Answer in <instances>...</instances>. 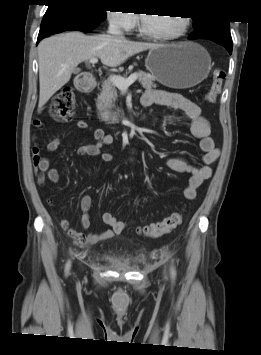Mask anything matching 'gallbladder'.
Returning <instances> with one entry per match:
<instances>
[{"instance_id": "1", "label": "gallbladder", "mask_w": 261, "mask_h": 355, "mask_svg": "<svg viewBox=\"0 0 261 355\" xmlns=\"http://www.w3.org/2000/svg\"><path fill=\"white\" fill-rule=\"evenodd\" d=\"M74 72H75V73L80 72V68H75V69H74Z\"/></svg>"}]
</instances>
